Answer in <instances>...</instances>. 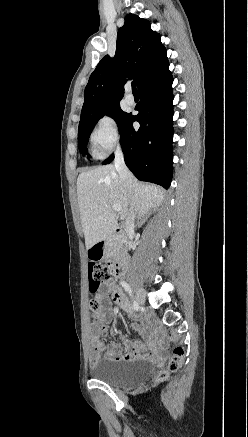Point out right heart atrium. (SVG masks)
Returning <instances> with one entry per match:
<instances>
[{
  "instance_id": "d8ad5b80",
  "label": "right heart atrium",
  "mask_w": 248,
  "mask_h": 437,
  "mask_svg": "<svg viewBox=\"0 0 248 437\" xmlns=\"http://www.w3.org/2000/svg\"><path fill=\"white\" fill-rule=\"evenodd\" d=\"M120 140L119 126L116 118L111 114L100 116L95 122L90 141L97 155L103 156L109 153Z\"/></svg>"
}]
</instances>
